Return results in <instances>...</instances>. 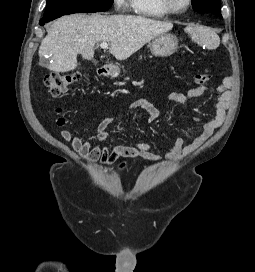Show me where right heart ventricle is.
<instances>
[{"mask_svg": "<svg viewBox=\"0 0 255 272\" xmlns=\"http://www.w3.org/2000/svg\"><path fill=\"white\" fill-rule=\"evenodd\" d=\"M132 7L137 14L146 17L163 18L169 15L160 0H132Z\"/></svg>", "mask_w": 255, "mask_h": 272, "instance_id": "e07e8e85", "label": "right heart ventricle"}]
</instances>
